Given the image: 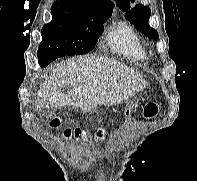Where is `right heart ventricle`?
<instances>
[{"instance_id":"right-heart-ventricle-1","label":"right heart ventricle","mask_w":197,"mask_h":181,"mask_svg":"<svg viewBox=\"0 0 197 181\" xmlns=\"http://www.w3.org/2000/svg\"><path fill=\"white\" fill-rule=\"evenodd\" d=\"M107 41L109 46L120 55L135 61L146 59V53L139 37L126 22H119L111 27Z\"/></svg>"}]
</instances>
